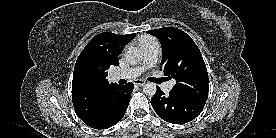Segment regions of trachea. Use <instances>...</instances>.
I'll return each mask as SVG.
<instances>
[{
	"label": "trachea",
	"instance_id": "1",
	"mask_svg": "<svg viewBox=\"0 0 276 138\" xmlns=\"http://www.w3.org/2000/svg\"><path fill=\"white\" fill-rule=\"evenodd\" d=\"M163 79H156V83H161Z\"/></svg>",
	"mask_w": 276,
	"mask_h": 138
}]
</instances>
